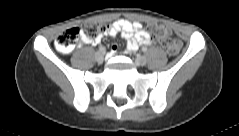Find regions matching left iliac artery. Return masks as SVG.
Masks as SVG:
<instances>
[{
  "mask_svg": "<svg viewBox=\"0 0 239 136\" xmlns=\"http://www.w3.org/2000/svg\"><path fill=\"white\" fill-rule=\"evenodd\" d=\"M147 49L146 48H142V51L145 52Z\"/></svg>",
  "mask_w": 239,
  "mask_h": 136,
  "instance_id": "1",
  "label": "left iliac artery"
}]
</instances>
